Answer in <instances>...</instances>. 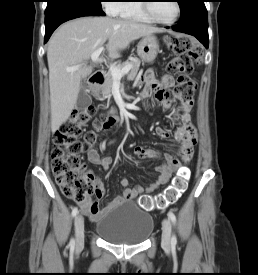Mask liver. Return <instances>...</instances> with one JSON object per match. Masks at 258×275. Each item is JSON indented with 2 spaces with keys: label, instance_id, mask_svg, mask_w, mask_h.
<instances>
[{
  "label": "liver",
  "instance_id": "liver-1",
  "mask_svg": "<svg viewBox=\"0 0 258 275\" xmlns=\"http://www.w3.org/2000/svg\"><path fill=\"white\" fill-rule=\"evenodd\" d=\"M157 32L161 29L110 17H81L61 25L47 48L52 133L70 117L81 81L92 72V66L85 62L94 51L107 42L109 57L118 58L119 51L126 49L132 41ZM76 65H80L78 70H66Z\"/></svg>",
  "mask_w": 258,
  "mask_h": 275
}]
</instances>
